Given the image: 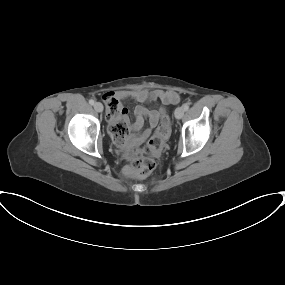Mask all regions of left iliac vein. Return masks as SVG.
I'll use <instances>...</instances> for the list:
<instances>
[{
    "mask_svg": "<svg viewBox=\"0 0 285 285\" xmlns=\"http://www.w3.org/2000/svg\"><path fill=\"white\" fill-rule=\"evenodd\" d=\"M184 115V109L182 107H178L175 110V117L176 119H181Z\"/></svg>",
    "mask_w": 285,
    "mask_h": 285,
    "instance_id": "1",
    "label": "left iliac vein"
}]
</instances>
